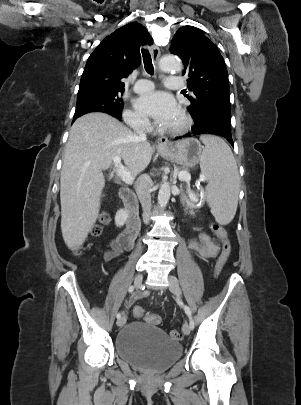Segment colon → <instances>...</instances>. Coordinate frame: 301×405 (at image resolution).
<instances>
[{
    "instance_id": "1",
    "label": "colon",
    "mask_w": 301,
    "mask_h": 405,
    "mask_svg": "<svg viewBox=\"0 0 301 405\" xmlns=\"http://www.w3.org/2000/svg\"><path fill=\"white\" fill-rule=\"evenodd\" d=\"M108 221H109V216L105 213L101 214L98 218V223L95 224L91 228V231H90L91 234L94 236L99 235L102 231V226L104 224H106ZM210 229L222 241V250L217 259L216 265H215V276H218L229 259V256L231 254V244H230V241L228 238V234H227L226 230L224 229V227H222L219 224L214 223V224H211ZM133 315L136 318L144 319L146 322L153 324V325H158L161 323L160 315L155 314V313H146L144 311V309L139 306H136L133 309ZM169 334L172 339H175V340L182 339V334L178 330H171Z\"/></svg>"
}]
</instances>
